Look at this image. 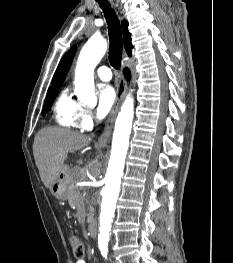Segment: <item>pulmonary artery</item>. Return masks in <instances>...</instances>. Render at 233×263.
<instances>
[{"mask_svg":"<svg viewBox=\"0 0 233 263\" xmlns=\"http://www.w3.org/2000/svg\"><path fill=\"white\" fill-rule=\"evenodd\" d=\"M97 76L102 80V81H110L112 78V72L109 67L107 66H101L97 69L96 71Z\"/></svg>","mask_w":233,"mask_h":263,"instance_id":"e3ab8cb5","label":"pulmonary artery"}]
</instances>
